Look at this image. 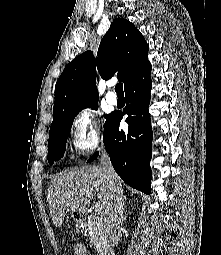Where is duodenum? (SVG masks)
<instances>
[{
	"label": "duodenum",
	"mask_w": 221,
	"mask_h": 255,
	"mask_svg": "<svg viewBox=\"0 0 221 255\" xmlns=\"http://www.w3.org/2000/svg\"><path fill=\"white\" fill-rule=\"evenodd\" d=\"M81 218H84V216H82ZM104 255H110V253L104 252Z\"/></svg>",
	"instance_id": "1"
}]
</instances>
